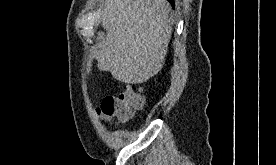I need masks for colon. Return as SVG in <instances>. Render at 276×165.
Returning a JSON list of instances; mask_svg holds the SVG:
<instances>
[{
	"label": "colon",
	"instance_id": "obj_1",
	"mask_svg": "<svg viewBox=\"0 0 276 165\" xmlns=\"http://www.w3.org/2000/svg\"><path fill=\"white\" fill-rule=\"evenodd\" d=\"M143 98L138 89L127 86L117 96L106 97L100 107L103 116L119 121L129 120L134 111L140 109Z\"/></svg>",
	"mask_w": 276,
	"mask_h": 165
}]
</instances>
